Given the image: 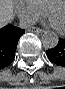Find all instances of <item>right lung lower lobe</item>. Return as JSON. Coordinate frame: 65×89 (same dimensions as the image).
<instances>
[{
  "label": "right lung lower lobe",
  "mask_w": 65,
  "mask_h": 89,
  "mask_svg": "<svg viewBox=\"0 0 65 89\" xmlns=\"http://www.w3.org/2000/svg\"><path fill=\"white\" fill-rule=\"evenodd\" d=\"M24 33L25 30L10 24L0 28V70L13 61L18 40Z\"/></svg>",
  "instance_id": "right-lung-lower-lobe-1"
}]
</instances>
